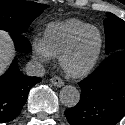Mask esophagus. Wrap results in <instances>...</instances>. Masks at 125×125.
<instances>
[{
    "label": "esophagus",
    "mask_w": 125,
    "mask_h": 125,
    "mask_svg": "<svg viewBox=\"0 0 125 125\" xmlns=\"http://www.w3.org/2000/svg\"><path fill=\"white\" fill-rule=\"evenodd\" d=\"M50 82L56 87H62L64 85L63 80L57 76L52 77Z\"/></svg>",
    "instance_id": "esophagus-1"
}]
</instances>
